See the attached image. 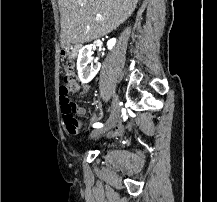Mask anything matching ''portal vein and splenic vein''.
<instances>
[{
  "label": "portal vein and splenic vein",
  "instance_id": "18ae733b",
  "mask_svg": "<svg viewBox=\"0 0 217 202\" xmlns=\"http://www.w3.org/2000/svg\"><path fill=\"white\" fill-rule=\"evenodd\" d=\"M95 20H101V22H103V18H102V16H99V14H98L97 18H95Z\"/></svg>",
  "mask_w": 217,
  "mask_h": 202
}]
</instances>
